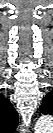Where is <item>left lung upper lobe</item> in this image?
Segmentation results:
<instances>
[{"label":"left lung upper lobe","mask_w":53,"mask_h":133,"mask_svg":"<svg viewBox=\"0 0 53 133\" xmlns=\"http://www.w3.org/2000/svg\"><path fill=\"white\" fill-rule=\"evenodd\" d=\"M42 114H53V94L49 93L43 99L40 106Z\"/></svg>","instance_id":"5c2ea615"}]
</instances>
